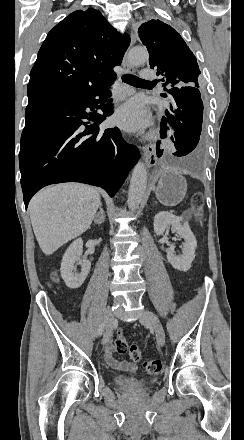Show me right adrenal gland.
<instances>
[{
	"instance_id": "1",
	"label": "right adrenal gland",
	"mask_w": 244,
	"mask_h": 440,
	"mask_svg": "<svg viewBox=\"0 0 244 440\" xmlns=\"http://www.w3.org/2000/svg\"><path fill=\"white\" fill-rule=\"evenodd\" d=\"M99 214H102V216H105V212L102 208V204H100L99 206V212H97V214H95V216H99Z\"/></svg>"
}]
</instances>
